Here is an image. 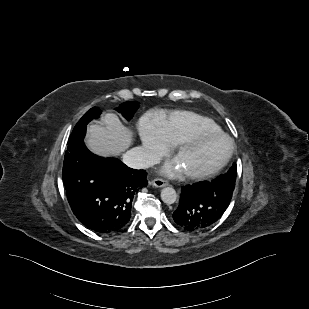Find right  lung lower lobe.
<instances>
[{"label": "right lung lower lobe", "mask_w": 309, "mask_h": 309, "mask_svg": "<svg viewBox=\"0 0 309 309\" xmlns=\"http://www.w3.org/2000/svg\"><path fill=\"white\" fill-rule=\"evenodd\" d=\"M85 133L86 125L73 130L67 143L62 176L68 202L86 227L113 233L130 220L133 197L147 186V173L94 155L83 142Z\"/></svg>", "instance_id": "obj_1"}]
</instances>
